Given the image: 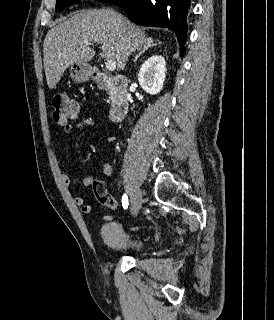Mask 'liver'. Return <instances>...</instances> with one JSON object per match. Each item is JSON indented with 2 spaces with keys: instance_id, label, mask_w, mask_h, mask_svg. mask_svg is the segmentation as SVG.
<instances>
[{
  "instance_id": "1",
  "label": "liver",
  "mask_w": 274,
  "mask_h": 320,
  "mask_svg": "<svg viewBox=\"0 0 274 320\" xmlns=\"http://www.w3.org/2000/svg\"><path fill=\"white\" fill-rule=\"evenodd\" d=\"M149 40L145 32L112 8L73 12L51 28L44 40L43 64L48 88H56L72 64L90 62L95 56L90 48L93 44H101L100 58L114 60L117 68L124 70L132 52L147 48Z\"/></svg>"
}]
</instances>
